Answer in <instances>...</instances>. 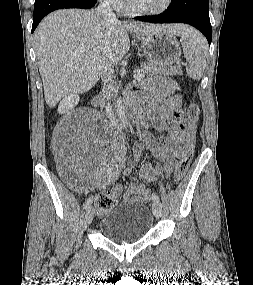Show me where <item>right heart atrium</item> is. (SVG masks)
Listing matches in <instances>:
<instances>
[{
  "instance_id": "obj_1",
  "label": "right heart atrium",
  "mask_w": 253,
  "mask_h": 285,
  "mask_svg": "<svg viewBox=\"0 0 253 285\" xmlns=\"http://www.w3.org/2000/svg\"><path fill=\"white\" fill-rule=\"evenodd\" d=\"M101 2L107 7L115 10H119L124 6V0H101Z\"/></svg>"
}]
</instances>
